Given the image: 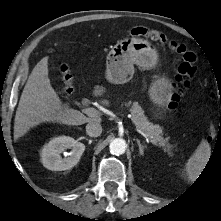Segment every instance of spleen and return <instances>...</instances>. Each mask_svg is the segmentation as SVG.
<instances>
[{
    "label": "spleen",
    "mask_w": 221,
    "mask_h": 221,
    "mask_svg": "<svg viewBox=\"0 0 221 221\" xmlns=\"http://www.w3.org/2000/svg\"><path fill=\"white\" fill-rule=\"evenodd\" d=\"M211 155V147L206 140H202L185 165L189 180H194L201 173Z\"/></svg>",
    "instance_id": "1"
}]
</instances>
